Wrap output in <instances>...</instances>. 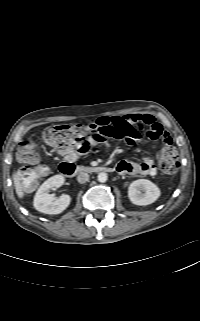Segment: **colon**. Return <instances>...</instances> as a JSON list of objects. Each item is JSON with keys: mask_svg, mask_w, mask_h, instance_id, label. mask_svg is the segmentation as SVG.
<instances>
[{"mask_svg": "<svg viewBox=\"0 0 200 321\" xmlns=\"http://www.w3.org/2000/svg\"><path fill=\"white\" fill-rule=\"evenodd\" d=\"M47 144L55 147L63 153L76 150L86 153L91 147L105 142L108 138H118L117 130L110 126L89 125H53L48 127L43 134ZM18 158L32 167H24L20 170V178L26 188H34L39 179L47 174V167L39 164V156L36 151L33 138H26L20 143ZM159 165L166 179L173 178L177 172L179 161L173 148L164 150L159 156Z\"/></svg>", "mask_w": 200, "mask_h": 321, "instance_id": "colon-1", "label": "colon"}]
</instances>
